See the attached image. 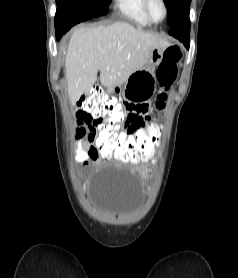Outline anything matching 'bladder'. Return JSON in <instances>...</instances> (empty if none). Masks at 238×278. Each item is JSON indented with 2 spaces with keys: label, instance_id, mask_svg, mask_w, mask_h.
I'll return each mask as SVG.
<instances>
[{
  "label": "bladder",
  "instance_id": "31cf9c89",
  "mask_svg": "<svg viewBox=\"0 0 238 278\" xmlns=\"http://www.w3.org/2000/svg\"><path fill=\"white\" fill-rule=\"evenodd\" d=\"M92 180H139V175H127L125 169L111 167L102 175H92ZM89 198L96 197L98 208L109 215L127 214L139 207L141 198V181H89Z\"/></svg>",
  "mask_w": 238,
  "mask_h": 278
}]
</instances>
